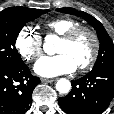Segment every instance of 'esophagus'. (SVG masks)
Returning a JSON list of instances; mask_svg holds the SVG:
<instances>
[{"label":"esophagus","mask_w":114,"mask_h":114,"mask_svg":"<svg viewBox=\"0 0 114 114\" xmlns=\"http://www.w3.org/2000/svg\"><path fill=\"white\" fill-rule=\"evenodd\" d=\"M56 79L54 78H41V81L44 83H51L54 82Z\"/></svg>","instance_id":"34e87169"}]
</instances>
